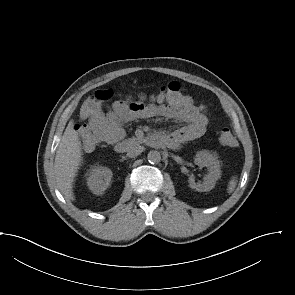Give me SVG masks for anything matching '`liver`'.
Masks as SVG:
<instances>
[{
  "label": "liver",
  "instance_id": "6515ba94",
  "mask_svg": "<svg viewBox=\"0 0 295 295\" xmlns=\"http://www.w3.org/2000/svg\"><path fill=\"white\" fill-rule=\"evenodd\" d=\"M82 148L73 122H69L55 156L57 187L67 200H74L73 182L82 162Z\"/></svg>",
  "mask_w": 295,
  "mask_h": 295
}]
</instances>
